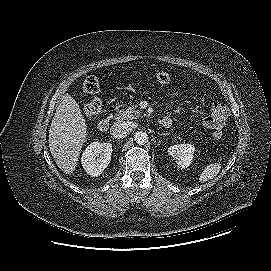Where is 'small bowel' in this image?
I'll return each instance as SVG.
<instances>
[{
	"label": "small bowel",
	"instance_id": "c3829d8e",
	"mask_svg": "<svg viewBox=\"0 0 271 271\" xmlns=\"http://www.w3.org/2000/svg\"><path fill=\"white\" fill-rule=\"evenodd\" d=\"M228 117L229 109L227 106L222 103H214L210 108L209 114L203 119V125L208 129L220 130L226 123Z\"/></svg>",
	"mask_w": 271,
	"mask_h": 271
}]
</instances>
